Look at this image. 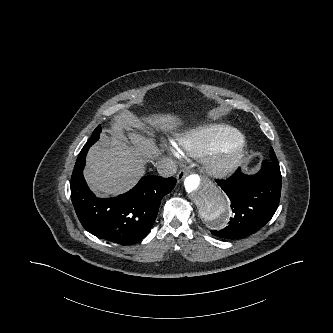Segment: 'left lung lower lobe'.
Returning a JSON list of instances; mask_svg holds the SVG:
<instances>
[{
  "instance_id": "obj_1",
  "label": "left lung lower lobe",
  "mask_w": 333,
  "mask_h": 333,
  "mask_svg": "<svg viewBox=\"0 0 333 333\" xmlns=\"http://www.w3.org/2000/svg\"><path fill=\"white\" fill-rule=\"evenodd\" d=\"M278 163L262 162V169L247 176L238 169L226 180H216L231 201L234 217L222 230H211L222 238H243L262 228L276 212L281 193Z\"/></svg>"
}]
</instances>
